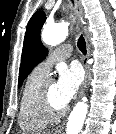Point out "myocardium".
Returning a JSON list of instances; mask_svg holds the SVG:
<instances>
[{"mask_svg": "<svg viewBox=\"0 0 116 134\" xmlns=\"http://www.w3.org/2000/svg\"><path fill=\"white\" fill-rule=\"evenodd\" d=\"M52 82L53 80L49 77L43 81L36 94V104L42 113L54 119L63 116L67 111V107L65 105L57 107L52 103L49 96V87Z\"/></svg>", "mask_w": 116, "mask_h": 134, "instance_id": "myocardium-1", "label": "myocardium"}]
</instances>
